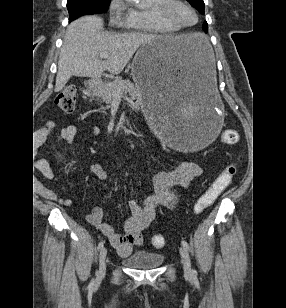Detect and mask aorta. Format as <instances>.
<instances>
[{"instance_id": "762f6f07", "label": "aorta", "mask_w": 286, "mask_h": 308, "mask_svg": "<svg viewBox=\"0 0 286 308\" xmlns=\"http://www.w3.org/2000/svg\"><path fill=\"white\" fill-rule=\"evenodd\" d=\"M127 2H134V3H137L139 2L140 0H126Z\"/></svg>"}]
</instances>
